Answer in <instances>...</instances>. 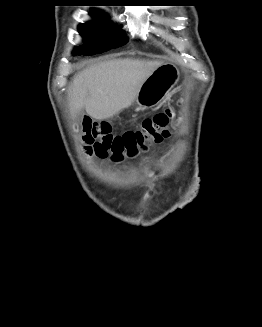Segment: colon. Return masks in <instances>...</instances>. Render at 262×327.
Here are the masks:
<instances>
[{
	"label": "colon",
	"mask_w": 262,
	"mask_h": 327,
	"mask_svg": "<svg viewBox=\"0 0 262 327\" xmlns=\"http://www.w3.org/2000/svg\"><path fill=\"white\" fill-rule=\"evenodd\" d=\"M173 119L174 111L170 108L144 119L139 129L114 134L107 121L85 118L81 125L84 148L89 154L119 161L167 138Z\"/></svg>",
	"instance_id": "1"
}]
</instances>
